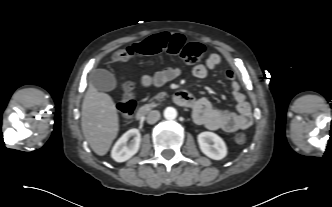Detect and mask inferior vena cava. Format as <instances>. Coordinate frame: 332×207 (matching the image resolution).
Listing matches in <instances>:
<instances>
[{
    "label": "inferior vena cava",
    "instance_id": "602c4592",
    "mask_svg": "<svg viewBox=\"0 0 332 207\" xmlns=\"http://www.w3.org/2000/svg\"><path fill=\"white\" fill-rule=\"evenodd\" d=\"M160 119V112L157 110H152L147 115V122L149 124H154Z\"/></svg>",
    "mask_w": 332,
    "mask_h": 207
}]
</instances>
